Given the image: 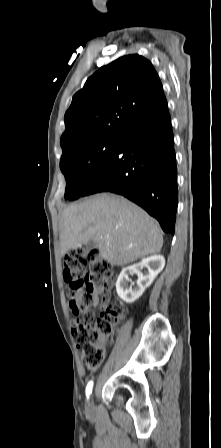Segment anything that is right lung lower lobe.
<instances>
[{
  "label": "right lung lower lobe",
  "mask_w": 221,
  "mask_h": 448,
  "mask_svg": "<svg viewBox=\"0 0 221 448\" xmlns=\"http://www.w3.org/2000/svg\"><path fill=\"white\" fill-rule=\"evenodd\" d=\"M98 192L125 196L155 217L164 232L174 234L177 168L166 100L119 134L112 153L82 196Z\"/></svg>",
  "instance_id": "right-lung-lower-lobe-1"
}]
</instances>
